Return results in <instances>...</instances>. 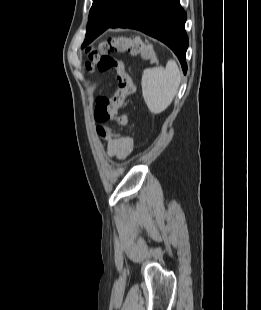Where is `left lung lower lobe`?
I'll return each mask as SVG.
<instances>
[{
    "label": "left lung lower lobe",
    "instance_id": "left-lung-lower-lobe-1",
    "mask_svg": "<svg viewBox=\"0 0 261 310\" xmlns=\"http://www.w3.org/2000/svg\"><path fill=\"white\" fill-rule=\"evenodd\" d=\"M186 13L179 0H124L110 21L88 23L82 47L91 43L108 28L140 30L169 46L180 60L183 72L187 65L185 54L188 37L184 25Z\"/></svg>",
    "mask_w": 261,
    "mask_h": 310
}]
</instances>
